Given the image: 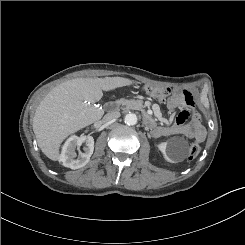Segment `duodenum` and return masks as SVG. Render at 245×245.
<instances>
[{"label": "duodenum", "mask_w": 245, "mask_h": 245, "mask_svg": "<svg viewBox=\"0 0 245 245\" xmlns=\"http://www.w3.org/2000/svg\"><path fill=\"white\" fill-rule=\"evenodd\" d=\"M117 107H118V102H116V101L109 102V103L106 105V109H107L108 111H114V110L117 109ZM144 123H145L148 127H150V126H152V125L154 124L153 119H152L149 115H145V116H144Z\"/></svg>", "instance_id": "duodenum-1"}]
</instances>
